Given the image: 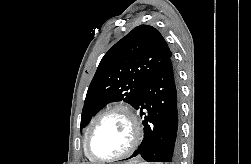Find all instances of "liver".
I'll return each instance as SVG.
<instances>
[{
	"mask_svg": "<svg viewBox=\"0 0 251 164\" xmlns=\"http://www.w3.org/2000/svg\"><path fill=\"white\" fill-rule=\"evenodd\" d=\"M125 163H127V164H133V163H135V161L125 162Z\"/></svg>",
	"mask_w": 251,
	"mask_h": 164,
	"instance_id": "obj_1",
	"label": "liver"
}]
</instances>
